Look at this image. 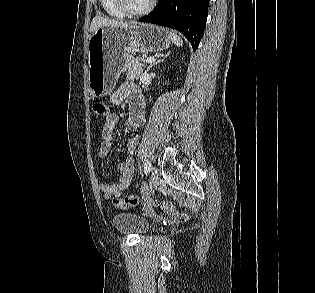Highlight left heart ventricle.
I'll return each instance as SVG.
<instances>
[{
    "label": "left heart ventricle",
    "mask_w": 315,
    "mask_h": 293,
    "mask_svg": "<svg viewBox=\"0 0 315 293\" xmlns=\"http://www.w3.org/2000/svg\"><path fill=\"white\" fill-rule=\"evenodd\" d=\"M149 2L150 0H128L130 7L136 10L146 7Z\"/></svg>",
    "instance_id": "b2bd125f"
}]
</instances>
